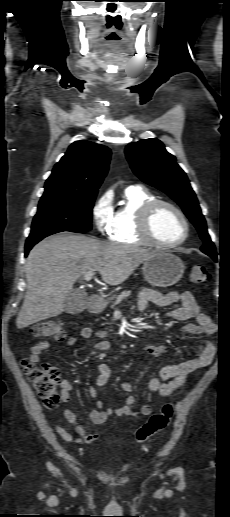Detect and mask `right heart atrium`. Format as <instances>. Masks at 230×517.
I'll list each match as a JSON object with an SVG mask.
<instances>
[{"label":"right heart atrium","instance_id":"1","mask_svg":"<svg viewBox=\"0 0 230 517\" xmlns=\"http://www.w3.org/2000/svg\"><path fill=\"white\" fill-rule=\"evenodd\" d=\"M91 214L96 230L102 235L109 234L114 218L112 198L108 194L98 197L92 206Z\"/></svg>","mask_w":230,"mask_h":517}]
</instances>
